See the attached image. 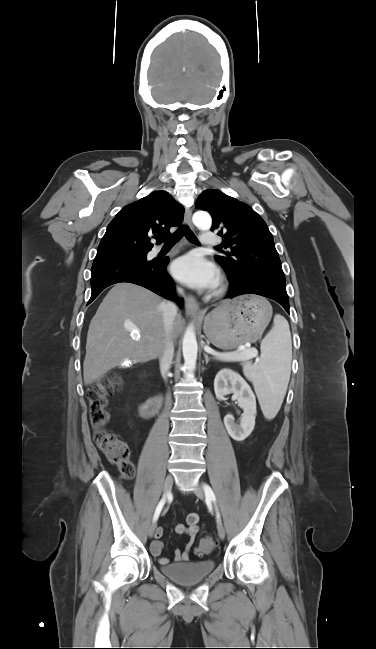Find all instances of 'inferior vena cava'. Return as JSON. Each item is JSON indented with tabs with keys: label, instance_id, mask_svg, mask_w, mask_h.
Returning <instances> with one entry per match:
<instances>
[{
	"label": "inferior vena cava",
	"instance_id": "1",
	"mask_svg": "<svg viewBox=\"0 0 376 649\" xmlns=\"http://www.w3.org/2000/svg\"><path fill=\"white\" fill-rule=\"evenodd\" d=\"M179 295H184L182 289H178ZM163 324L165 330L164 348L159 357L160 369L164 377H166L174 355V343L171 336L174 318L177 315V306L172 302L163 303Z\"/></svg>",
	"mask_w": 376,
	"mask_h": 649
}]
</instances>
